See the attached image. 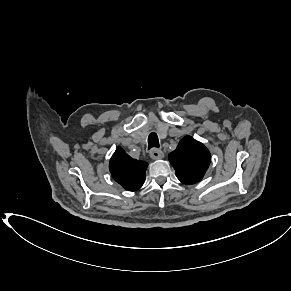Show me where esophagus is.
I'll return each instance as SVG.
<instances>
[{
  "label": "esophagus",
  "mask_w": 291,
  "mask_h": 291,
  "mask_svg": "<svg viewBox=\"0 0 291 291\" xmlns=\"http://www.w3.org/2000/svg\"><path fill=\"white\" fill-rule=\"evenodd\" d=\"M149 155L153 160L162 159L164 157V153L160 149H157V148H153L150 151Z\"/></svg>",
  "instance_id": "1"
}]
</instances>
